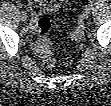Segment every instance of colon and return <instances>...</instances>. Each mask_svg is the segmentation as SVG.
I'll list each match as a JSON object with an SVG mask.
<instances>
[{"label":"colon","instance_id":"colon-1","mask_svg":"<svg viewBox=\"0 0 111 106\" xmlns=\"http://www.w3.org/2000/svg\"><path fill=\"white\" fill-rule=\"evenodd\" d=\"M37 27V48L42 55L43 65L47 69H52L55 64V54L49 40L52 29V22L48 17H40L36 24Z\"/></svg>","mask_w":111,"mask_h":106}]
</instances>
